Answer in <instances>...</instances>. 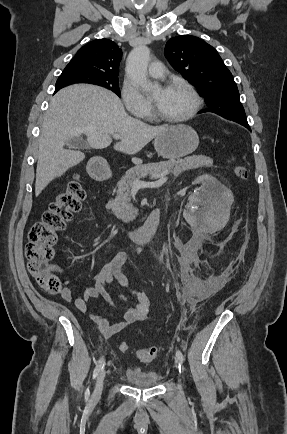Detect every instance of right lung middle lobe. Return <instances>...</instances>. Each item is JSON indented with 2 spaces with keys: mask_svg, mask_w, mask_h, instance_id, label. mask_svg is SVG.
I'll return each mask as SVG.
<instances>
[{
  "mask_svg": "<svg viewBox=\"0 0 287 434\" xmlns=\"http://www.w3.org/2000/svg\"><path fill=\"white\" fill-rule=\"evenodd\" d=\"M74 83L95 84L105 87L120 97L118 77L92 76L72 69H64L56 82V87H65Z\"/></svg>",
  "mask_w": 287,
  "mask_h": 434,
  "instance_id": "1",
  "label": "right lung middle lobe"
}]
</instances>
